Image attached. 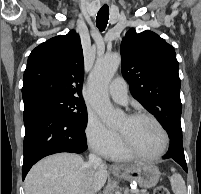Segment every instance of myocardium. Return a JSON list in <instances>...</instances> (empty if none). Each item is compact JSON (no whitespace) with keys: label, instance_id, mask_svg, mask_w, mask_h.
Here are the masks:
<instances>
[{"label":"myocardium","instance_id":"1","mask_svg":"<svg viewBox=\"0 0 201 194\" xmlns=\"http://www.w3.org/2000/svg\"><path fill=\"white\" fill-rule=\"evenodd\" d=\"M128 117L131 119L147 118V119L151 120L159 128V130L162 133L163 146L155 154H150V155L142 154V153L136 151L135 149H133L131 147V145L129 144V142L127 141L126 137L122 133H120L121 144H122V147L125 150V152L133 158L142 159V160H156V159H159L160 157H162L163 155H165L170 146V136H169L168 131L164 127V125L159 121V119L148 112H142V111L134 112V113L128 115Z\"/></svg>","mask_w":201,"mask_h":194}]
</instances>
